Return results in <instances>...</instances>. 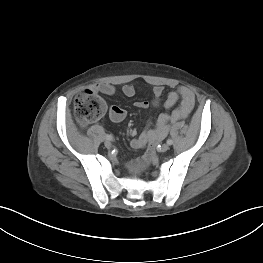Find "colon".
Instances as JSON below:
<instances>
[{
  "label": "colon",
  "mask_w": 263,
  "mask_h": 263,
  "mask_svg": "<svg viewBox=\"0 0 263 263\" xmlns=\"http://www.w3.org/2000/svg\"><path fill=\"white\" fill-rule=\"evenodd\" d=\"M106 103L94 90L80 92L74 101V113L81 124H90L99 120L106 112Z\"/></svg>",
  "instance_id": "colon-1"
}]
</instances>
